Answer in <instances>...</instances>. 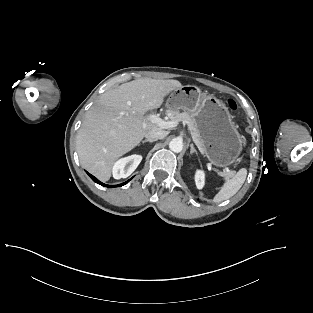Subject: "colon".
Returning a JSON list of instances; mask_svg holds the SVG:
<instances>
[{"mask_svg":"<svg viewBox=\"0 0 313 313\" xmlns=\"http://www.w3.org/2000/svg\"><path fill=\"white\" fill-rule=\"evenodd\" d=\"M226 104H227V107H228L230 110H235L236 107H237L235 101H234V100H231V99L227 100Z\"/></svg>","mask_w":313,"mask_h":313,"instance_id":"obj_1","label":"colon"}]
</instances>
